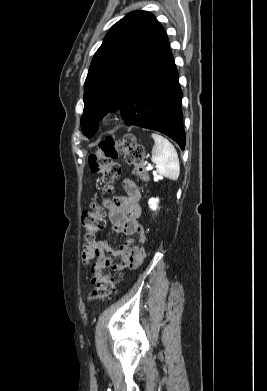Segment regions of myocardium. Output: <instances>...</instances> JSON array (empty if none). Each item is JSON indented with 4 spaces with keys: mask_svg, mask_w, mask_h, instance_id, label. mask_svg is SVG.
Returning <instances> with one entry per match:
<instances>
[{
    "mask_svg": "<svg viewBox=\"0 0 267 391\" xmlns=\"http://www.w3.org/2000/svg\"><path fill=\"white\" fill-rule=\"evenodd\" d=\"M113 123V118L111 116L107 117L105 119V124L106 125H111Z\"/></svg>",
    "mask_w": 267,
    "mask_h": 391,
    "instance_id": "f54148a6",
    "label": "myocardium"
}]
</instances>
